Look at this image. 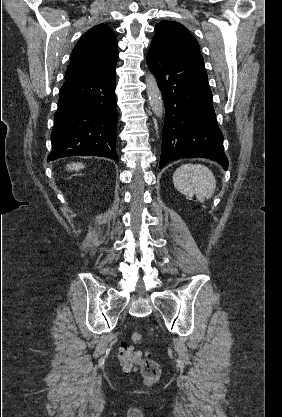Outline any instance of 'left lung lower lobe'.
Here are the masks:
<instances>
[{"instance_id": "0a47b994", "label": "left lung lower lobe", "mask_w": 282, "mask_h": 417, "mask_svg": "<svg viewBox=\"0 0 282 417\" xmlns=\"http://www.w3.org/2000/svg\"><path fill=\"white\" fill-rule=\"evenodd\" d=\"M147 62L165 105L159 168L180 158H208L226 170L228 159L200 54L150 46Z\"/></svg>"}]
</instances>
